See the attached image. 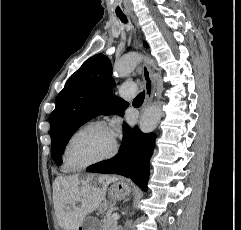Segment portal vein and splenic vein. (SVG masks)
I'll return each instance as SVG.
<instances>
[{
    "instance_id": "obj_1",
    "label": "portal vein and splenic vein",
    "mask_w": 241,
    "mask_h": 230,
    "mask_svg": "<svg viewBox=\"0 0 241 230\" xmlns=\"http://www.w3.org/2000/svg\"><path fill=\"white\" fill-rule=\"evenodd\" d=\"M112 219L115 220V221L118 220L119 219V215L117 213H114L112 215Z\"/></svg>"
}]
</instances>
